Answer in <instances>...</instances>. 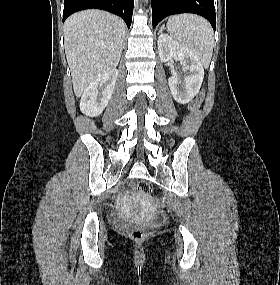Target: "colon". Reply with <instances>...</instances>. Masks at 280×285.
Returning a JSON list of instances; mask_svg holds the SVG:
<instances>
[{
	"label": "colon",
	"mask_w": 280,
	"mask_h": 285,
	"mask_svg": "<svg viewBox=\"0 0 280 285\" xmlns=\"http://www.w3.org/2000/svg\"><path fill=\"white\" fill-rule=\"evenodd\" d=\"M203 99V94H199L198 97L190 104L191 110H196L199 108L201 101ZM134 188L136 191L141 193H146L149 190V186L145 182L134 183ZM152 232L151 228L136 227L131 232L132 239L136 241L144 240Z\"/></svg>",
	"instance_id": "5ec220e1"
}]
</instances>
